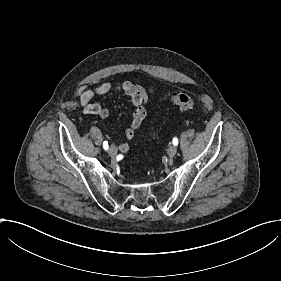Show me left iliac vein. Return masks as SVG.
I'll list each match as a JSON object with an SVG mask.
<instances>
[{
	"instance_id": "left-iliac-vein-1",
	"label": "left iliac vein",
	"mask_w": 281,
	"mask_h": 281,
	"mask_svg": "<svg viewBox=\"0 0 281 281\" xmlns=\"http://www.w3.org/2000/svg\"><path fill=\"white\" fill-rule=\"evenodd\" d=\"M177 147L172 146L170 148H168L167 153L170 157H173L175 154H177L176 152Z\"/></svg>"
}]
</instances>
